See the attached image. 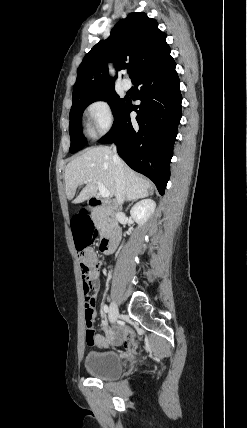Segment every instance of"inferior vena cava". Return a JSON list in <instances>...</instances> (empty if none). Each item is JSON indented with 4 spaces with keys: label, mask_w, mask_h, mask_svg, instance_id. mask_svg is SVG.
Segmentation results:
<instances>
[{
    "label": "inferior vena cava",
    "mask_w": 247,
    "mask_h": 428,
    "mask_svg": "<svg viewBox=\"0 0 247 428\" xmlns=\"http://www.w3.org/2000/svg\"><path fill=\"white\" fill-rule=\"evenodd\" d=\"M113 160L116 164L115 168V182H116V201L119 205H121L125 198V186H124V171L122 161L119 158L116 147L113 146Z\"/></svg>",
    "instance_id": "obj_1"
}]
</instances>
